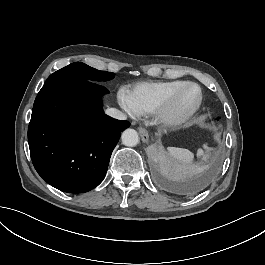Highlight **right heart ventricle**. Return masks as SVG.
Returning a JSON list of instances; mask_svg holds the SVG:
<instances>
[{
    "label": "right heart ventricle",
    "instance_id": "obj_1",
    "mask_svg": "<svg viewBox=\"0 0 265 265\" xmlns=\"http://www.w3.org/2000/svg\"><path fill=\"white\" fill-rule=\"evenodd\" d=\"M184 81L176 78L159 82H142L132 86L127 93L133 108L132 114L146 116L154 113Z\"/></svg>",
    "mask_w": 265,
    "mask_h": 265
}]
</instances>
